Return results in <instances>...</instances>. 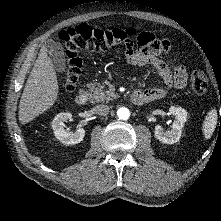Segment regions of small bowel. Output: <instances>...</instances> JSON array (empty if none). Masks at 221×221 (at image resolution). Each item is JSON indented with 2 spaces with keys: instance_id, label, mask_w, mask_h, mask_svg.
Segmentation results:
<instances>
[{
  "instance_id": "1",
  "label": "small bowel",
  "mask_w": 221,
  "mask_h": 221,
  "mask_svg": "<svg viewBox=\"0 0 221 221\" xmlns=\"http://www.w3.org/2000/svg\"><path fill=\"white\" fill-rule=\"evenodd\" d=\"M136 47L133 43L126 47V59L128 63L139 66L153 67L167 87L183 89L187 83V73L183 67L172 63L171 66L162 61L159 56L166 54L170 49V43L165 38H159L151 32H142L136 40ZM148 101L163 98L167 90L160 87L138 90Z\"/></svg>"
}]
</instances>
